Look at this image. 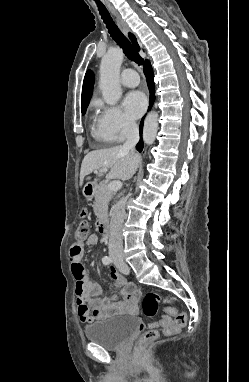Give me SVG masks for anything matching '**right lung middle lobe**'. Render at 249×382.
<instances>
[{
  "label": "right lung middle lobe",
  "mask_w": 249,
  "mask_h": 382,
  "mask_svg": "<svg viewBox=\"0 0 249 382\" xmlns=\"http://www.w3.org/2000/svg\"><path fill=\"white\" fill-rule=\"evenodd\" d=\"M86 110H83L82 113L85 114Z\"/></svg>",
  "instance_id": "obj_1"
}]
</instances>
